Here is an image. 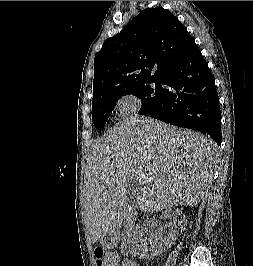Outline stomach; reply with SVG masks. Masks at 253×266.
Instances as JSON below:
<instances>
[{
    "mask_svg": "<svg viewBox=\"0 0 253 266\" xmlns=\"http://www.w3.org/2000/svg\"><path fill=\"white\" fill-rule=\"evenodd\" d=\"M102 243L106 246V247H110L112 244L109 243L105 238H102Z\"/></svg>",
    "mask_w": 253,
    "mask_h": 266,
    "instance_id": "0dacf381",
    "label": "stomach"
}]
</instances>
